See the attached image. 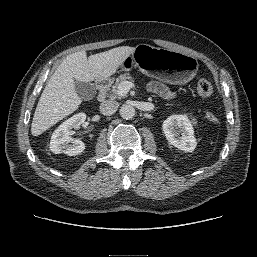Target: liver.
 Segmentation results:
<instances>
[{
	"instance_id": "6515ba94",
	"label": "liver",
	"mask_w": 257,
	"mask_h": 257,
	"mask_svg": "<svg viewBox=\"0 0 257 257\" xmlns=\"http://www.w3.org/2000/svg\"><path fill=\"white\" fill-rule=\"evenodd\" d=\"M134 50V47L122 46L88 58L85 51L67 56L41 94L31 124L32 135L42 134L77 110L82 100L76 92L75 81L90 83L109 78Z\"/></svg>"
}]
</instances>
